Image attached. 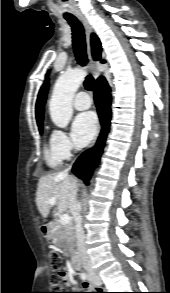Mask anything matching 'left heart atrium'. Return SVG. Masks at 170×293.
Returning <instances> with one entry per match:
<instances>
[{"label":"left heart atrium","instance_id":"obj_1","mask_svg":"<svg viewBox=\"0 0 170 293\" xmlns=\"http://www.w3.org/2000/svg\"><path fill=\"white\" fill-rule=\"evenodd\" d=\"M97 130V118L92 112H84L77 115L71 127V135L74 143L83 147L94 137Z\"/></svg>","mask_w":170,"mask_h":293}]
</instances>
